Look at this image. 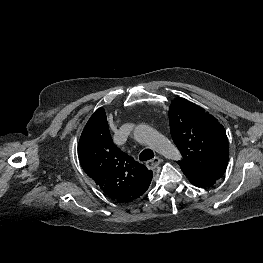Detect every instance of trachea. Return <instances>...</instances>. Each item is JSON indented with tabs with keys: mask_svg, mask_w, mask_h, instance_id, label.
<instances>
[{
	"mask_svg": "<svg viewBox=\"0 0 263 263\" xmlns=\"http://www.w3.org/2000/svg\"><path fill=\"white\" fill-rule=\"evenodd\" d=\"M154 157V153L151 149H145L140 153V161H147Z\"/></svg>",
	"mask_w": 263,
	"mask_h": 263,
	"instance_id": "3493384b",
	"label": "trachea"
}]
</instances>
